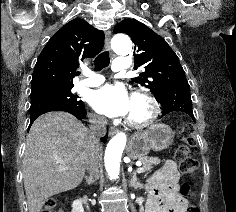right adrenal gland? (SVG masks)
<instances>
[{
  "instance_id": "obj_1",
  "label": "right adrenal gland",
  "mask_w": 236,
  "mask_h": 212,
  "mask_svg": "<svg viewBox=\"0 0 236 212\" xmlns=\"http://www.w3.org/2000/svg\"><path fill=\"white\" fill-rule=\"evenodd\" d=\"M95 182V180H93V179H91V178H89V177H86V183L88 184V185H91L92 183H94Z\"/></svg>"
}]
</instances>
